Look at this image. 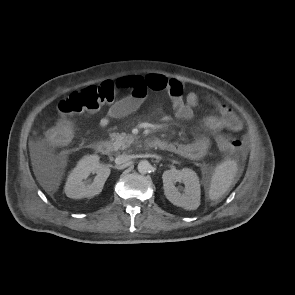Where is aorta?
<instances>
[{
  "label": "aorta",
  "instance_id": "1",
  "mask_svg": "<svg viewBox=\"0 0 295 295\" xmlns=\"http://www.w3.org/2000/svg\"><path fill=\"white\" fill-rule=\"evenodd\" d=\"M151 170V164L147 160H142L138 163V171L146 174Z\"/></svg>",
  "mask_w": 295,
  "mask_h": 295
}]
</instances>
